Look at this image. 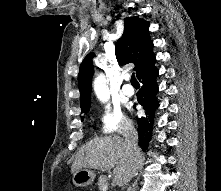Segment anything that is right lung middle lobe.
Returning a JSON list of instances; mask_svg holds the SVG:
<instances>
[{"label": "right lung middle lobe", "mask_w": 221, "mask_h": 191, "mask_svg": "<svg viewBox=\"0 0 221 191\" xmlns=\"http://www.w3.org/2000/svg\"><path fill=\"white\" fill-rule=\"evenodd\" d=\"M88 111H86V112H82V113H87ZM82 120H83V117L81 118Z\"/></svg>", "instance_id": "dd1d6c3e"}]
</instances>
